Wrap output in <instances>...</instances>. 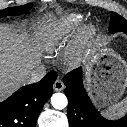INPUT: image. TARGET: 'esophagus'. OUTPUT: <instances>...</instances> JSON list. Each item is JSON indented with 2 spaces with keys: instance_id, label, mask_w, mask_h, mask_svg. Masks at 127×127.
Returning a JSON list of instances; mask_svg holds the SVG:
<instances>
[{
  "instance_id": "1",
  "label": "esophagus",
  "mask_w": 127,
  "mask_h": 127,
  "mask_svg": "<svg viewBox=\"0 0 127 127\" xmlns=\"http://www.w3.org/2000/svg\"><path fill=\"white\" fill-rule=\"evenodd\" d=\"M53 88L55 91H62L64 89V83L60 79H57L53 85Z\"/></svg>"
}]
</instances>
